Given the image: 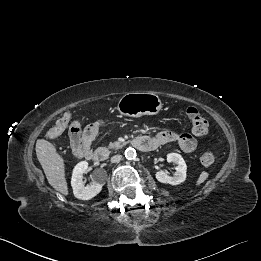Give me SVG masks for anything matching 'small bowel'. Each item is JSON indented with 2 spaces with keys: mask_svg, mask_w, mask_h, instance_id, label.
Wrapping results in <instances>:
<instances>
[{
  "mask_svg": "<svg viewBox=\"0 0 261 261\" xmlns=\"http://www.w3.org/2000/svg\"><path fill=\"white\" fill-rule=\"evenodd\" d=\"M99 124L94 123L86 127L84 130L82 137L77 141L71 142V150L75 157H82L83 152L91 149V144L95 139V136L98 132ZM142 138H146L151 141L156 148L168 143H177L182 152L189 154L196 150L197 148V140L190 134H177L172 131H163L159 134L150 137V136H142Z\"/></svg>",
  "mask_w": 261,
  "mask_h": 261,
  "instance_id": "1",
  "label": "small bowel"
}]
</instances>
